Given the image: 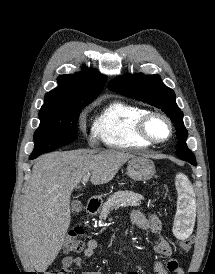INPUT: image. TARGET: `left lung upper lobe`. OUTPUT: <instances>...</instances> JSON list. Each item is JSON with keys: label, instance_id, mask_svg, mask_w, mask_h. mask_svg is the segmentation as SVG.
<instances>
[{"label": "left lung upper lobe", "instance_id": "left-lung-upper-lobe-1", "mask_svg": "<svg viewBox=\"0 0 215 274\" xmlns=\"http://www.w3.org/2000/svg\"><path fill=\"white\" fill-rule=\"evenodd\" d=\"M108 88L161 109L174 122L177 130L179 141L176 155L184 161L196 162L186 145L188 132L183 124V112L176 104L175 93L163 84L159 76L142 73L122 75L110 81Z\"/></svg>", "mask_w": 215, "mask_h": 274}]
</instances>
